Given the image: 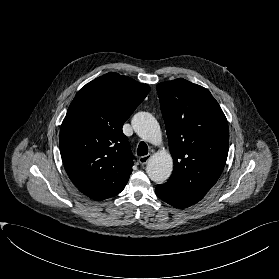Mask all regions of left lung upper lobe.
I'll return each mask as SVG.
<instances>
[{"label":"left lung upper lobe","mask_w":279,"mask_h":279,"mask_svg":"<svg viewBox=\"0 0 279 279\" xmlns=\"http://www.w3.org/2000/svg\"><path fill=\"white\" fill-rule=\"evenodd\" d=\"M174 170L167 182L205 195L228 155L227 119L204 87L178 78L157 85Z\"/></svg>","instance_id":"left-lung-upper-lobe-1"}]
</instances>
